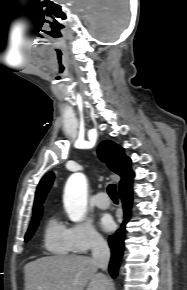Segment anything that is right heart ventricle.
<instances>
[{
  "instance_id": "1",
  "label": "right heart ventricle",
  "mask_w": 187,
  "mask_h": 290,
  "mask_svg": "<svg viewBox=\"0 0 187 290\" xmlns=\"http://www.w3.org/2000/svg\"><path fill=\"white\" fill-rule=\"evenodd\" d=\"M44 246L55 255H68L72 249L68 238V229L55 216H51L44 230Z\"/></svg>"
}]
</instances>
